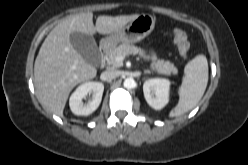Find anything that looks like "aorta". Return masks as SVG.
I'll list each match as a JSON object with an SVG mask.
<instances>
[{"instance_id": "1", "label": "aorta", "mask_w": 248, "mask_h": 165, "mask_svg": "<svg viewBox=\"0 0 248 165\" xmlns=\"http://www.w3.org/2000/svg\"><path fill=\"white\" fill-rule=\"evenodd\" d=\"M124 87L127 89H132L135 87V80L131 77L126 78L123 83Z\"/></svg>"}]
</instances>
